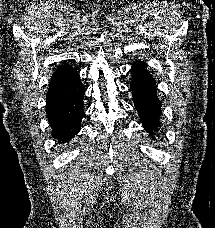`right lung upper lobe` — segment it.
Returning <instances> with one entry per match:
<instances>
[{"mask_svg":"<svg viewBox=\"0 0 215 228\" xmlns=\"http://www.w3.org/2000/svg\"><path fill=\"white\" fill-rule=\"evenodd\" d=\"M77 74L78 73H77V71L74 68H72L71 66H69L67 64H64V65H62V66H60L59 68L56 69V71L54 72L52 77H60V78L74 77ZM56 89H57V86H51L49 88V91H48L47 95H49L50 93H52Z\"/></svg>","mask_w":215,"mask_h":228,"instance_id":"1","label":"right lung upper lobe"}]
</instances>
